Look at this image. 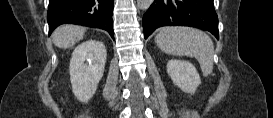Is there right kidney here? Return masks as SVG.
<instances>
[{"instance_id": "ca27d5eb", "label": "right kidney", "mask_w": 273, "mask_h": 118, "mask_svg": "<svg viewBox=\"0 0 273 118\" xmlns=\"http://www.w3.org/2000/svg\"><path fill=\"white\" fill-rule=\"evenodd\" d=\"M107 52L102 42L88 40L78 45L70 60L72 91L81 102H88L101 80Z\"/></svg>"}]
</instances>
